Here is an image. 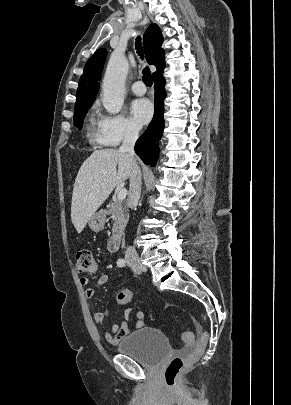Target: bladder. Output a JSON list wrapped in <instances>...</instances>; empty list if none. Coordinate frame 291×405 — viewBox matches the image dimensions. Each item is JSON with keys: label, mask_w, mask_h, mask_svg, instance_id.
Returning a JSON list of instances; mask_svg holds the SVG:
<instances>
[{"label": "bladder", "mask_w": 291, "mask_h": 405, "mask_svg": "<svg viewBox=\"0 0 291 405\" xmlns=\"http://www.w3.org/2000/svg\"><path fill=\"white\" fill-rule=\"evenodd\" d=\"M117 351L145 368H156L170 351L166 335L154 327H142L124 337Z\"/></svg>", "instance_id": "obj_1"}]
</instances>
